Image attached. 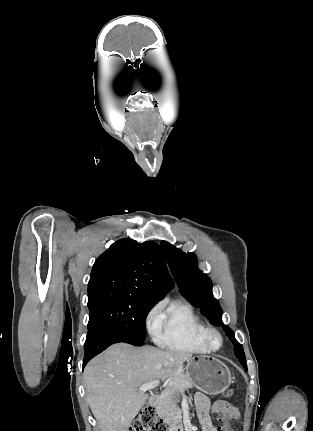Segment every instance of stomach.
Here are the masks:
<instances>
[{
  "label": "stomach",
  "instance_id": "stomach-1",
  "mask_svg": "<svg viewBox=\"0 0 313 431\" xmlns=\"http://www.w3.org/2000/svg\"><path fill=\"white\" fill-rule=\"evenodd\" d=\"M185 374L200 391L209 395L224 392L233 381L229 368L222 361L206 355L190 358Z\"/></svg>",
  "mask_w": 313,
  "mask_h": 431
}]
</instances>
